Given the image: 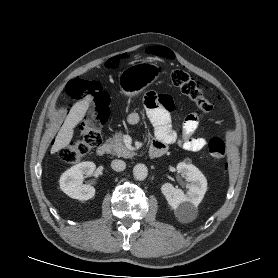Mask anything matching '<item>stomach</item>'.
Masks as SVG:
<instances>
[{"label":"stomach","instance_id":"1","mask_svg":"<svg viewBox=\"0 0 278 278\" xmlns=\"http://www.w3.org/2000/svg\"><path fill=\"white\" fill-rule=\"evenodd\" d=\"M160 76L159 67L149 61L134 63L119 74L121 91L130 97L136 96L154 83Z\"/></svg>","mask_w":278,"mask_h":278}]
</instances>
